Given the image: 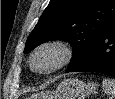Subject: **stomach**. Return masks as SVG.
<instances>
[{
	"label": "stomach",
	"mask_w": 115,
	"mask_h": 99,
	"mask_svg": "<svg viewBox=\"0 0 115 99\" xmlns=\"http://www.w3.org/2000/svg\"><path fill=\"white\" fill-rule=\"evenodd\" d=\"M96 91L93 82H83L76 78L63 80L55 90L33 94L30 99H85Z\"/></svg>",
	"instance_id": "0dacf381"
}]
</instances>
